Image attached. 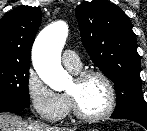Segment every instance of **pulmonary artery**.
<instances>
[{
  "label": "pulmonary artery",
  "instance_id": "pulmonary-artery-1",
  "mask_svg": "<svg viewBox=\"0 0 147 131\" xmlns=\"http://www.w3.org/2000/svg\"><path fill=\"white\" fill-rule=\"evenodd\" d=\"M63 64L71 71L77 72L81 68L78 55L72 50H65L62 55Z\"/></svg>",
  "mask_w": 147,
  "mask_h": 131
}]
</instances>
